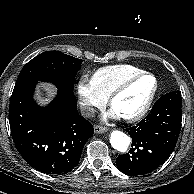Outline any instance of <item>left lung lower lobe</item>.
Segmentation results:
<instances>
[{"label": "left lung lower lobe", "instance_id": "0a47b994", "mask_svg": "<svg viewBox=\"0 0 194 194\" xmlns=\"http://www.w3.org/2000/svg\"><path fill=\"white\" fill-rule=\"evenodd\" d=\"M181 120L180 91L160 97L142 121L126 130L132 138V148L116 159L118 169L126 175L137 176L161 166L176 146Z\"/></svg>", "mask_w": 194, "mask_h": 194}]
</instances>
